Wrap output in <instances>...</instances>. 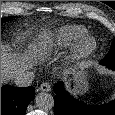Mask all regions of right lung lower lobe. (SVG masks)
I'll list each match as a JSON object with an SVG mask.
<instances>
[{
  "label": "right lung lower lobe",
  "mask_w": 115,
  "mask_h": 115,
  "mask_svg": "<svg viewBox=\"0 0 115 115\" xmlns=\"http://www.w3.org/2000/svg\"><path fill=\"white\" fill-rule=\"evenodd\" d=\"M34 96L33 87H1V115H25L26 108Z\"/></svg>",
  "instance_id": "obj_1"
}]
</instances>
